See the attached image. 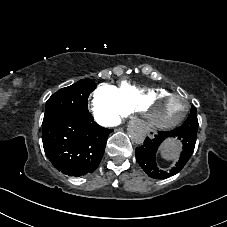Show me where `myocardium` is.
Returning a JSON list of instances; mask_svg holds the SVG:
<instances>
[{
	"mask_svg": "<svg viewBox=\"0 0 227 227\" xmlns=\"http://www.w3.org/2000/svg\"><path fill=\"white\" fill-rule=\"evenodd\" d=\"M172 98V97H180L184 100L185 105L182 114L175 118L172 121L169 122H159L156 119L153 118V116L150 113V109L153 105H155L157 102L161 101L163 98ZM190 104L188 97L185 94L178 93V92H166L163 94H158L149 97L141 106L140 113L143 121L145 122L146 125L152 128H162V127H167V128H172L178 125L181 121L184 120V118L187 116L189 112Z\"/></svg>",
	"mask_w": 227,
	"mask_h": 227,
	"instance_id": "f54148a6",
	"label": "myocardium"
}]
</instances>
